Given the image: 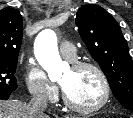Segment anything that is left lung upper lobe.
<instances>
[{"label": "left lung upper lobe", "instance_id": "left-lung-upper-lobe-1", "mask_svg": "<svg viewBox=\"0 0 133 118\" xmlns=\"http://www.w3.org/2000/svg\"><path fill=\"white\" fill-rule=\"evenodd\" d=\"M75 23L92 57L99 63L118 101L133 110V61L116 20L102 7L88 4Z\"/></svg>", "mask_w": 133, "mask_h": 118}]
</instances>
